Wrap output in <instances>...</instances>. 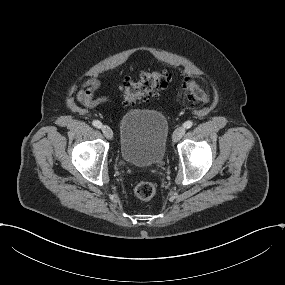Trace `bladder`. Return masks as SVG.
Returning <instances> with one entry per match:
<instances>
[{
    "label": "bladder",
    "instance_id": "1",
    "mask_svg": "<svg viewBox=\"0 0 285 285\" xmlns=\"http://www.w3.org/2000/svg\"><path fill=\"white\" fill-rule=\"evenodd\" d=\"M118 131V151L124 163L138 167L163 163L169 131L163 113L144 109L125 112Z\"/></svg>",
    "mask_w": 285,
    "mask_h": 285
}]
</instances>
